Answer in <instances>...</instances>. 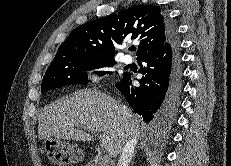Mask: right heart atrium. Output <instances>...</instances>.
Returning a JSON list of instances; mask_svg holds the SVG:
<instances>
[{"label": "right heart atrium", "mask_w": 231, "mask_h": 166, "mask_svg": "<svg viewBox=\"0 0 231 166\" xmlns=\"http://www.w3.org/2000/svg\"><path fill=\"white\" fill-rule=\"evenodd\" d=\"M87 76L91 82H97L100 79L101 71L96 67H91L87 71Z\"/></svg>", "instance_id": "d8ad5b80"}]
</instances>
